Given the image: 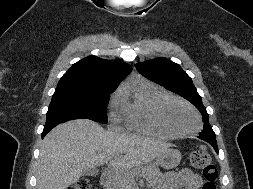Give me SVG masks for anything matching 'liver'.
Listing matches in <instances>:
<instances>
[{"instance_id":"6515ba94","label":"liver","mask_w":253,"mask_h":189,"mask_svg":"<svg viewBox=\"0 0 253 189\" xmlns=\"http://www.w3.org/2000/svg\"><path fill=\"white\" fill-rule=\"evenodd\" d=\"M170 146L139 135L107 131L88 119L71 120L55 127L42 141L37 189H67L84 169L102 164L126 176L125 189H135V178L146 174L143 165Z\"/></svg>"}]
</instances>
